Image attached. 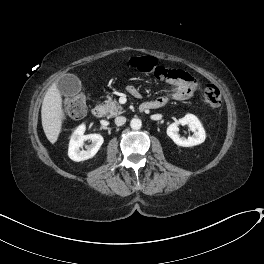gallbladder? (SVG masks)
<instances>
[{
  "instance_id": "1",
  "label": "gallbladder",
  "mask_w": 264,
  "mask_h": 264,
  "mask_svg": "<svg viewBox=\"0 0 264 264\" xmlns=\"http://www.w3.org/2000/svg\"><path fill=\"white\" fill-rule=\"evenodd\" d=\"M57 87L64 95L76 96L81 91V81L77 76L67 74L58 81Z\"/></svg>"
}]
</instances>
